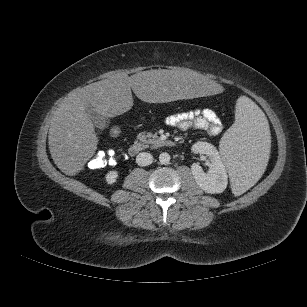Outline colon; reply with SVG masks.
Segmentation results:
<instances>
[{
	"mask_svg": "<svg viewBox=\"0 0 307 307\" xmlns=\"http://www.w3.org/2000/svg\"><path fill=\"white\" fill-rule=\"evenodd\" d=\"M109 134L112 137H118L121 134V128L119 126H114L110 129ZM121 154L122 151L120 149L98 151L88 160L87 163L90 169H100L115 164Z\"/></svg>",
	"mask_w": 307,
	"mask_h": 307,
	"instance_id": "colon-1",
	"label": "colon"
}]
</instances>
